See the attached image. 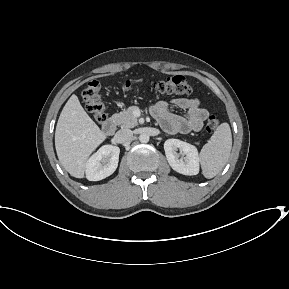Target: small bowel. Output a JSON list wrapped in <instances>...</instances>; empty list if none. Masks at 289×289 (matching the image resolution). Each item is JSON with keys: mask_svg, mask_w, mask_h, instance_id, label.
I'll use <instances>...</instances> for the list:
<instances>
[{"mask_svg": "<svg viewBox=\"0 0 289 289\" xmlns=\"http://www.w3.org/2000/svg\"><path fill=\"white\" fill-rule=\"evenodd\" d=\"M170 104L186 111V116H179L170 110ZM152 116L168 133H188L201 129L208 117V111L201 107L197 98H175L170 102L159 101L151 107Z\"/></svg>", "mask_w": 289, "mask_h": 289, "instance_id": "c3829d8e", "label": "small bowel"}]
</instances>
